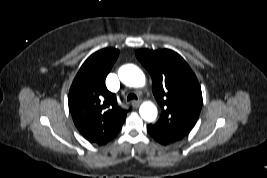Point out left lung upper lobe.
<instances>
[{
  "mask_svg": "<svg viewBox=\"0 0 267 178\" xmlns=\"http://www.w3.org/2000/svg\"><path fill=\"white\" fill-rule=\"evenodd\" d=\"M136 57L152 77V91L161 106V117L148 125L169 143L183 139L195 126L202 107L198 80L176 52L140 49Z\"/></svg>",
  "mask_w": 267,
  "mask_h": 178,
  "instance_id": "obj_1",
  "label": "left lung upper lobe"
}]
</instances>
